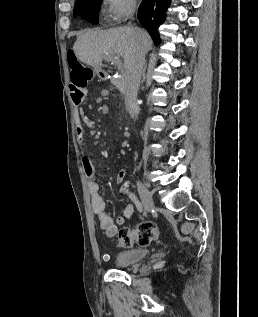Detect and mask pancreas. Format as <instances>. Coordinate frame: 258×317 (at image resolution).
I'll return each mask as SVG.
<instances>
[{
    "mask_svg": "<svg viewBox=\"0 0 258 317\" xmlns=\"http://www.w3.org/2000/svg\"><path fill=\"white\" fill-rule=\"evenodd\" d=\"M115 81L117 80L116 78L114 79ZM125 84V81H121L120 78H118L117 86H123Z\"/></svg>",
    "mask_w": 258,
    "mask_h": 317,
    "instance_id": "cf45deb5",
    "label": "pancreas"
}]
</instances>
